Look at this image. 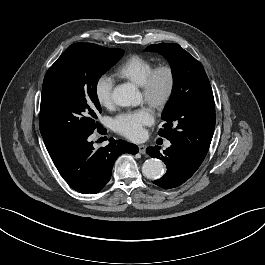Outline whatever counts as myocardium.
<instances>
[{
	"label": "myocardium",
	"mask_w": 265,
	"mask_h": 265,
	"mask_svg": "<svg viewBox=\"0 0 265 265\" xmlns=\"http://www.w3.org/2000/svg\"><path fill=\"white\" fill-rule=\"evenodd\" d=\"M161 76L166 78V84L163 88L159 86ZM176 82V72L172 65L160 64L154 67L142 86L144 101L156 110L164 109L175 93Z\"/></svg>",
	"instance_id": "f54148a6"
}]
</instances>
